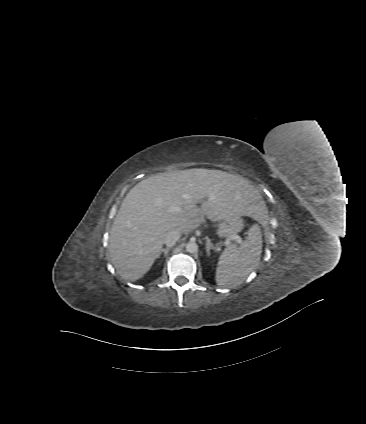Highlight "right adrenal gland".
Instances as JSON below:
<instances>
[{"label": "right adrenal gland", "instance_id": "2a0ac1e0", "mask_svg": "<svg viewBox=\"0 0 366 424\" xmlns=\"http://www.w3.org/2000/svg\"><path fill=\"white\" fill-rule=\"evenodd\" d=\"M171 250V247L168 248H164L161 250V252L159 253V256L164 253V256L166 257L168 255V252Z\"/></svg>", "mask_w": 366, "mask_h": 424}]
</instances>
